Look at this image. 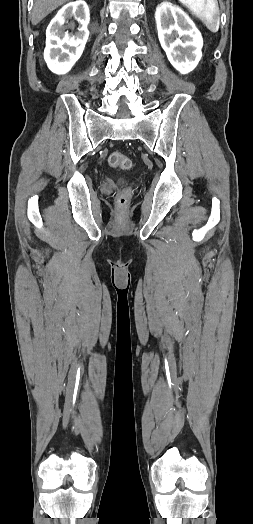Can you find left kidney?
Segmentation results:
<instances>
[{
  "label": "left kidney",
  "instance_id": "left-kidney-1",
  "mask_svg": "<svg viewBox=\"0 0 253 524\" xmlns=\"http://www.w3.org/2000/svg\"><path fill=\"white\" fill-rule=\"evenodd\" d=\"M155 20L160 44L172 66L182 74L194 70L202 57L203 39L188 15L164 1L156 8Z\"/></svg>",
  "mask_w": 253,
  "mask_h": 524
}]
</instances>
